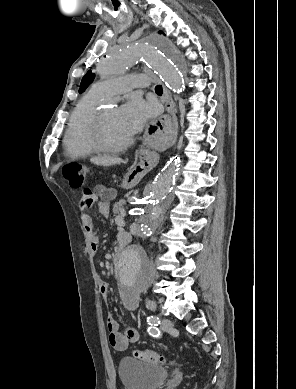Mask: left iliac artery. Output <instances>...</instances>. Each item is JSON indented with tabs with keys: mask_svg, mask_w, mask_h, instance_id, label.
<instances>
[{
	"mask_svg": "<svg viewBox=\"0 0 296 389\" xmlns=\"http://www.w3.org/2000/svg\"><path fill=\"white\" fill-rule=\"evenodd\" d=\"M147 322L148 324L150 325V327L148 328V332L150 335L154 336V337H157L159 336V331L158 329L156 328V326L158 324H160V320L158 317L156 316H149L147 318Z\"/></svg>",
	"mask_w": 296,
	"mask_h": 389,
	"instance_id": "44dca946",
	"label": "left iliac artery"
}]
</instances>
